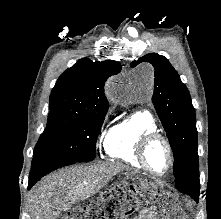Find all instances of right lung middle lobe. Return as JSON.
I'll return each instance as SVG.
<instances>
[{
	"instance_id": "1",
	"label": "right lung middle lobe",
	"mask_w": 221,
	"mask_h": 219,
	"mask_svg": "<svg viewBox=\"0 0 221 219\" xmlns=\"http://www.w3.org/2000/svg\"><path fill=\"white\" fill-rule=\"evenodd\" d=\"M107 110L83 113L67 109H50L47 127L39 138L33 156L47 153L74 162L95 158L97 136Z\"/></svg>"
}]
</instances>
